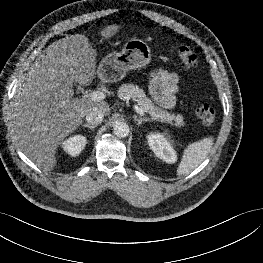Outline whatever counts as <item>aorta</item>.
I'll return each instance as SVG.
<instances>
[{
	"mask_svg": "<svg viewBox=\"0 0 263 263\" xmlns=\"http://www.w3.org/2000/svg\"><path fill=\"white\" fill-rule=\"evenodd\" d=\"M113 132L117 137L124 138L129 134V126L124 122H115Z\"/></svg>",
	"mask_w": 263,
	"mask_h": 263,
	"instance_id": "aorta-1",
	"label": "aorta"
}]
</instances>
